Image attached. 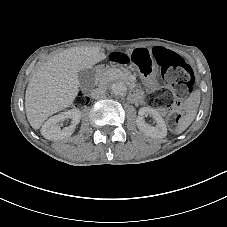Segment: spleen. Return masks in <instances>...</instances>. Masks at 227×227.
<instances>
[{"label":"spleen","mask_w":227,"mask_h":227,"mask_svg":"<svg viewBox=\"0 0 227 227\" xmlns=\"http://www.w3.org/2000/svg\"><path fill=\"white\" fill-rule=\"evenodd\" d=\"M193 118H194L193 114H188V115H185L184 117H182V119L180 120V122L177 126V130L179 132L184 131L190 125V123L193 121Z\"/></svg>","instance_id":"spleen-1"}]
</instances>
